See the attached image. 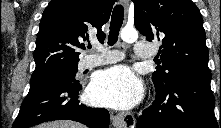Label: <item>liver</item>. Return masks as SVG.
<instances>
[{"mask_svg": "<svg viewBox=\"0 0 221 128\" xmlns=\"http://www.w3.org/2000/svg\"><path fill=\"white\" fill-rule=\"evenodd\" d=\"M37 128H85V126L73 121H53L40 124Z\"/></svg>", "mask_w": 221, "mask_h": 128, "instance_id": "6515ba94", "label": "liver"}]
</instances>
